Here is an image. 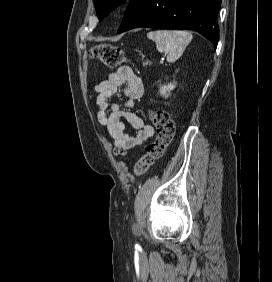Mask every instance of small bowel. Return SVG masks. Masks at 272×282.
Here are the masks:
<instances>
[{
    "mask_svg": "<svg viewBox=\"0 0 272 282\" xmlns=\"http://www.w3.org/2000/svg\"><path fill=\"white\" fill-rule=\"evenodd\" d=\"M123 88L125 100L120 106L113 100L118 89ZM97 93L96 109L97 121L105 127L113 138L115 155H124L131 148L143 144L154 134L151 126L144 124L143 120L134 112L136 100L143 94L142 80L134 75L131 68L122 66L110 73L107 79L95 86ZM125 119L128 124L137 130L135 136L125 132Z\"/></svg>",
    "mask_w": 272,
    "mask_h": 282,
    "instance_id": "small-bowel-1",
    "label": "small bowel"
}]
</instances>
